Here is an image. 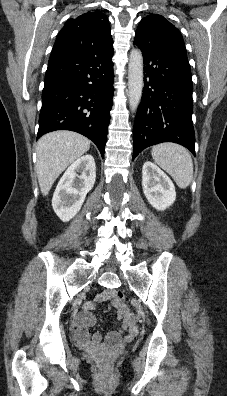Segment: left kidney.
Listing matches in <instances>:
<instances>
[{
    "label": "left kidney",
    "mask_w": 227,
    "mask_h": 396,
    "mask_svg": "<svg viewBox=\"0 0 227 396\" xmlns=\"http://www.w3.org/2000/svg\"><path fill=\"white\" fill-rule=\"evenodd\" d=\"M142 187L148 202L159 211L170 207L176 199L171 179L150 161H146L142 168Z\"/></svg>",
    "instance_id": "obj_1"
}]
</instances>
